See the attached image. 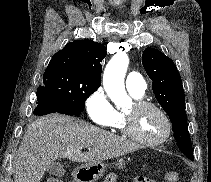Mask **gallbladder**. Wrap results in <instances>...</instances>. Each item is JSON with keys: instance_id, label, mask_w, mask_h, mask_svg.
Returning <instances> with one entry per match:
<instances>
[{"instance_id": "obj_1", "label": "gallbladder", "mask_w": 211, "mask_h": 182, "mask_svg": "<svg viewBox=\"0 0 211 182\" xmlns=\"http://www.w3.org/2000/svg\"><path fill=\"white\" fill-rule=\"evenodd\" d=\"M47 171L51 174V175H55V176H63L65 173L64 167L61 163L59 162H54L52 163L48 168Z\"/></svg>"}]
</instances>
